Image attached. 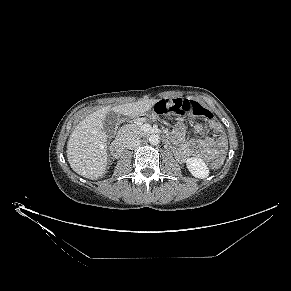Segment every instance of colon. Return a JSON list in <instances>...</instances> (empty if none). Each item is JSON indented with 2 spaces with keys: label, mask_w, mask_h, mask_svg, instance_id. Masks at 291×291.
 Returning a JSON list of instances; mask_svg holds the SVG:
<instances>
[{
  "label": "colon",
  "mask_w": 291,
  "mask_h": 291,
  "mask_svg": "<svg viewBox=\"0 0 291 291\" xmlns=\"http://www.w3.org/2000/svg\"><path fill=\"white\" fill-rule=\"evenodd\" d=\"M152 111L162 115H178L184 117H199L204 119L208 124L212 123L213 114L207 108L198 102L187 99H167L156 103ZM225 149V146H222ZM222 165L221 160H215L210 163L213 169H218Z\"/></svg>",
  "instance_id": "5ec220e1"
}]
</instances>
